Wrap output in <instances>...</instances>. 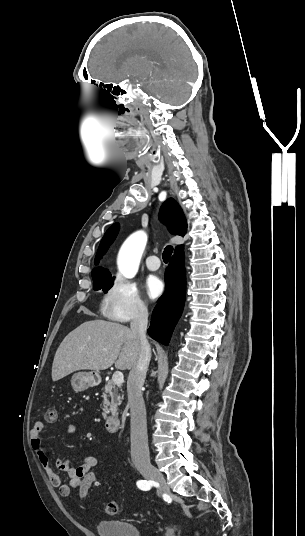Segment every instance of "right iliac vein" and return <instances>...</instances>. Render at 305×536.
Segmentation results:
<instances>
[{"label": "right iliac vein", "instance_id": "63e3f726", "mask_svg": "<svg viewBox=\"0 0 305 536\" xmlns=\"http://www.w3.org/2000/svg\"><path fill=\"white\" fill-rule=\"evenodd\" d=\"M139 472L148 480L156 481L160 485L159 496L168 492V486L162 473L150 464L138 466Z\"/></svg>", "mask_w": 305, "mask_h": 536}]
</instances>
